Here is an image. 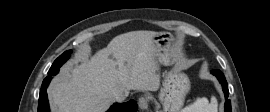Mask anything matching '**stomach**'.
Returning <instances> with one entry per match:
<instances>
[{"label": "stomach", "instance_id": "1", "mask_svg": "<svg viewBox=\"0 0 270 112\" xmlns=\"http://www.w3.org/2000/svg\"><path fill=\"white\" fill-rule=\"evenodd\" d=\"M155 56L159 63L171 65L176 60L172 35L167 32H158L153 37ZM190 90L188 76L175 66L164 75L158 99L165 112H177L184 103L186 94Z\"/></svg>", "mask_w": 270, "mask_h": 112}]
</instances>
